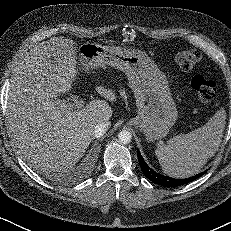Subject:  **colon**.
I'll use <instances>...</instances> for the list:
<instances>
[{"mask_svg": "<svg viewBox=\"0 0 231 231\" xmlns=\"http://www.w3.org/2000/svg\"><path fill=\"white\" fill-rule=\"evenodd\" d=\"M200 54L196 51H181L175 57L177 67L182 71L192 70L198 63ZM191 87L201 102L210 104L216 95V85L211 79L203 76H195L191 81Z\"/></svg>", "mask_w": 231, "mask_h": 231, "instance_id": "5ec220e1", "label": "colon"}]
</instances>
